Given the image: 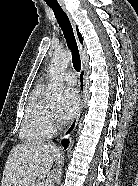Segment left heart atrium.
Returning <instances> with one entry per match:
<instances>
[{
    "mask_svg": "<svg viewBox=\"0 0 138 186\" xmlns=\"http://www.w3.org/2000/svg\"><path fill=\"white\" fill-rule=\"evenodd\" d=\"M79 107V96L75 89L66 88L62 92L61 106L58 118L61 122H68L76 114Z\"/></svg>",
    "mask_w": 138,
    "mask_h": 186,
    "instance_id": "obj_1",
    "label": "left heart atrium"
}]
</instances>
